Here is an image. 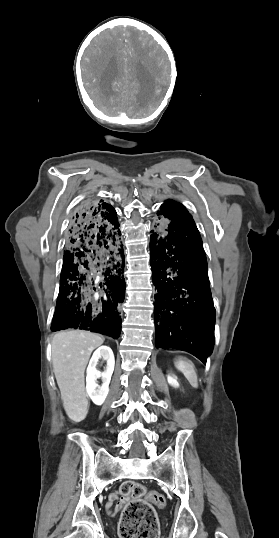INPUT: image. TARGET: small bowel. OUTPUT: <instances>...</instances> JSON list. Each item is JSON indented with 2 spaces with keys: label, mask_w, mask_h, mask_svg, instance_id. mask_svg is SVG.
<instances>
[{
  "label": "small bowel",
  "mask_w": 279,
  "mask_h": 538,
  "mask_svg": "<svg viewBox=\"0 0 279 538\" xmlns=\"http://www.w3.org/2000/svg\"><path fill=\"white\" fill-rule=\"evenodd\" d=\"M123 506V500H121L117 493L110 496L108 503L106 504V511L109 516H115Z\"/></svg>",
  "instance_id": "c3829d8e"
}]
</instances>
